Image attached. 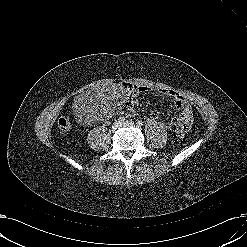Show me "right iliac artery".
<instances>
[{"label":"right iliac artery","mask_w":247,"mask_h":247,"mask_svg":"<svg viewBox=\"0 0 247 247\" xmlns=\"http://www.w3.org/2000/svg\"><path fill=\"white\" fill-rule=\"evenodd\" d=\"M118 120H119V122H123L125 120V118L124 117H120Z\"/></svg>","instance_id":"obj_1"}]
</instances>
